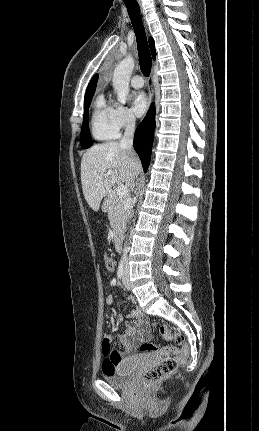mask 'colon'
<instances>
[{"label": "colon", "instance_id": "5ec220e1", "mask_svg": "<svg viewBox=\"0 0 259 431\" xmlns=\"http://www.w3.org/2000/svg\"><path fill=\"white\" fill-rule=\"evenodd\" d=\"M105 267L108 272H113L115 262L112 258L106 257ZM159 333L165 340L173 341L180 348L175 347H159L153 343L145 342L140 345V351L143 353H160L165 357L156 365L150 367L143 374V383L151 386L169 377L173 374L180 365L184 364L189 355V346L185 342V337L181 332L172 329L166 324L159 326ZM103 354H108L111 351L110 342L104 340L102 342ZM111 368H106L104 372H112Z\"/></svg>", "mask_w": 259, "mask_h": 431}]
</instances>
